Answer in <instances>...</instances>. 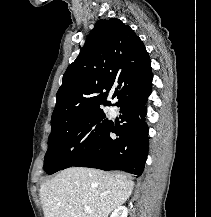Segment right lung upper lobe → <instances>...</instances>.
<instances>
[{"label":"right lung upper lobe","instance_id":"cb5924a9","mask_svg":"<svg viewBox=\"0 0 211 217\" xmlns=\"http://www.w3.org/2000/svg\"><path fill=\"white\" fill-rule=\"evenodd\" d=\"M150 72L149 55L135 32L119 19L99 20L63 75L52 128L111 105L106 99L112 87L119 100L134 81Z\"/></svg>","mask_w":211,"mask_h":217}]
</instances>
